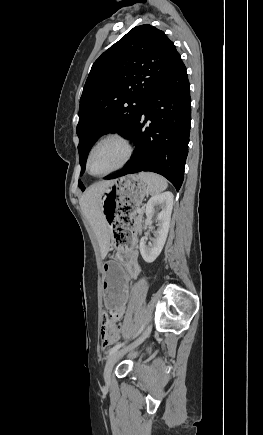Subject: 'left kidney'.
<instances>
[{"mask_svg": "<svg viewBox=\"0 0 263 435\" xmlns=\"http://www.w3.org/2000/svg\"><path fill=\"white\" fill-rule=\"evenodd\" d=\"M173 199L172 192L167 191L152 196L146 204L145 214L147 219L144 229L147 228V222L156 212V209L159 210L156 217L158 223L155 238L151 240L149 245H146L147 237H142L140 240V253L147 263L154 262L164 247L170 226Z\"/></svg>", "mask_w": 263, "mask_h": 435, "instance_id": "5707ae66", "label": "left kidney"}]
</instances>
